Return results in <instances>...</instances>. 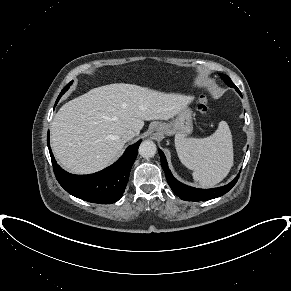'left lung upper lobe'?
<instances>
[{
	"label": "left lung upper lobe",
	"mask_w": 291,
	"mask_h": 291,
	"mask_svg": "<svg viewBox=\"0 0 291 291\" xmlns=\"http://www.w3.org/2000/svg\"><path fill=\"white\" fill-rule=\"evenodd\" d=\"M220 76H221V78L224 80V82L227 84V85H229L230 87H234L235 89H236V91L238 92V93H240V91H239V89L234 85V83L231 81V79L227 76V75H225V74H219Z\"/></svg>",
	"instance_id": "5c2ea615"
}]
</instances>
